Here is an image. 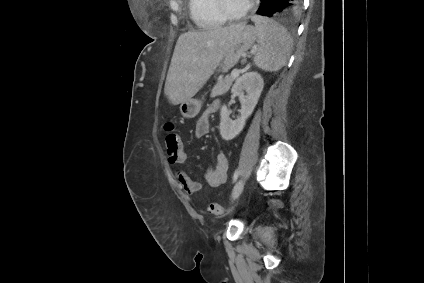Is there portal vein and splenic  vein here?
<instances>
[{"mask_svg":"<svg viewBox=\"0 0 424 283\" xmlns=\"http://www.w3.org/2000/svg\"><path fill=\"white\" fill-rule=\"evenodd\" d=\"M238 75H239V71H238V70H236V69H235V70H233V71H232V73H231V76H232V77H237Z\"/></svg>","mask_w":424,"mask_h":283,"instance_id":"1","label":"portal vein and splenic vein"}]
</instances>
